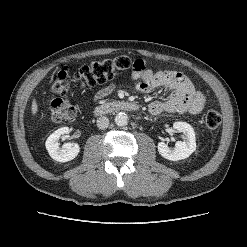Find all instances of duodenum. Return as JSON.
I'll list each match as a JSON object with an SVG mask.
<instances>
[{"label":"duodenum","instance_id":"1","mask_svg":"<svg viewBox=\"0 0 247 247\" xmlns=\"http://www.w3.org/2000/svg\"><path fill=\"white\" fill-rule=\"evenodd\" d=\"M119 110L135 112L139 110V105L135 102L125 100L111 101L98 105L94 109V113L96 115H105Z\"/></svg>","mask_w":247,"mask_h":247}]
</instances>
